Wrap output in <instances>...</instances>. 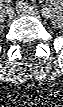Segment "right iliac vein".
<instances>
[{
  "label": "right iliac vein",
  "mask_w": 63,
  "mask_h": 107,
  "mask_svg": "<svg viewBox=\"0 0 63 107\" xmlns=\"http://www.w3.org/2000/svg\"><path fill=\"white\" fill-rule=\"evenodd\" d=\"M7 15H8L9 19H12L15 16L14 10L12 8H9L7 10Z\"/></svg>",
  "instance_id": "1"
}]
</instances>
